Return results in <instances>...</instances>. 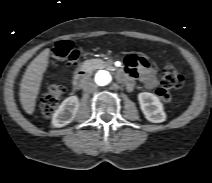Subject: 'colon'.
<instances>
[{
	"label": "colon",
	"instance_id": "5ec220e1",
	"mask_svg": "<svg viewBox=\"0 0 212 183\" xmlns=\"http://www.w3.org/2000/svg\"><path fill=\"white\" fill-rule=\"evenodd\" d=\"M52 56L59 60H66L75 64L80 55V49L71 41H59L52 50ZM184 82L183 75L171 64H167L163 70L161 86L156 90V95L162 102H169L171 94L169 89H175L182 86ZM64 87L60 83L52 84L48 91L42 96L40 101V110L45 117H50L60 103Z\"/></svg>",
	"mask_w": 212,
	"mask_h": 183
}]
</instances>
